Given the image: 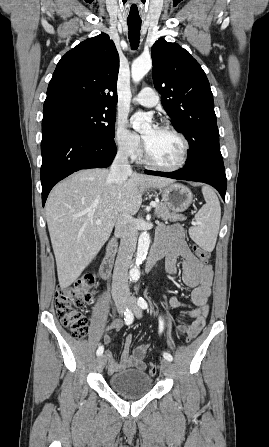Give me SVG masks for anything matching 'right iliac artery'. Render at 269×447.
I'll use <instances>...</instances> for the list:
<instances>
[{
    "mask_svg": "<svg viewBox=\"0 0 269 447\" xmlns=\"http://www.w3.org/2000/svg\"><path fill=\"white\" fill-rule=\"evenodd\" d=\"M133 319H134V317H133V314H132L131 310L126 309V311L124 312L125 323L127 325H129V324H131L133 322ZM103 351H104V347L103 346H99V348L97 349V352H96L97 356L102 355Z\"/></svg>",
    "mask_w": 269,
    "mask_h": 447,
    "instance_id": "obj_1",
    "label": "right iliac artery"
}]
</instances>
